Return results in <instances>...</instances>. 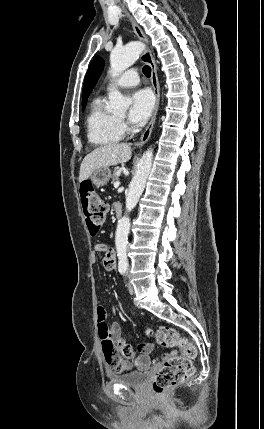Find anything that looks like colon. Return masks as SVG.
Wrapping results in <instances>:
<instances>
[{"mask_svg": "<svg viewBox=\"0 0 264 429\" xmlns=\"http://www.w3.org/2000/svg\"><path fill=\"white\" fill-rule=\"evenodd\" d=\"M80 197L87 226L91 234H96L106 219L108 206L88 182L80 185ZM104 318L105 314L101 311L99 319L102 321ZM148 333L159 345L177 348L180 351V354H170L154 377L152 389L156 395H163L193 374L192 359L196 355V349L190 341L171 327L162 326L156 330H149ZM116 343L117 346L115 342L106 340L103 345L105 359L113 367L123 358L131 356V348L128 345L121 339Z\"/></svg>", "mask_w": 264, "mask_h": 429, "instance_id": "5ec220e1", "label": "colon"}]
</instances>
